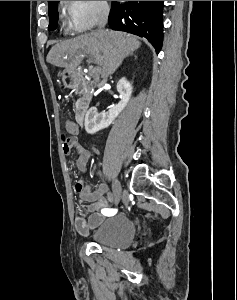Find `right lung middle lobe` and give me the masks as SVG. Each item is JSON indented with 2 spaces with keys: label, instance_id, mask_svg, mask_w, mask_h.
<instances>
[{
  "label": "right lung middle lobe",
  "instance_id": "right-lung-middle-lobe-1",
  "mask_svg": "<svg viewBox=\"0 0 237 300\" xmlns=\"http://www.w3.org/2000/svg\"><path fill=\"white\" fill-rule=\"evenodd\" d=\"M59 1H52L49 3V19L50 24L48 26V30H54L57 28L58 22V12H57V4Z\"/></svg>",
  "mask_w": 237,
  "mask_h": 300
}]
</instances>
